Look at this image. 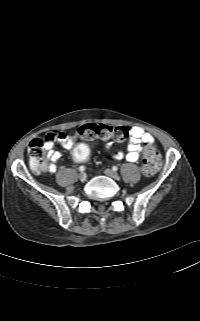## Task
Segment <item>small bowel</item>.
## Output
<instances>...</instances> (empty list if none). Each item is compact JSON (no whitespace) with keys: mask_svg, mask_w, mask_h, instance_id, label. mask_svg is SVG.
<instances>
[{"mask_svg":"<svg viewBox=\"0 0 200 321\" xmlns=\"http://www.w3.org/2000/svg\"><path fill=\"white\" fill-rule=\"evenodd\" d=\"M129 136V143L127 145V151L116 152L113 154V158L116 160L125 159L128 162L134 163L139 159L142 151V144L151 145L154 142V137L146 132L139 126H131L127 129ZM51 139H45V148L47 150L48 159L51 163L48 166V171L54 173L57 169L56 162L61 158V154L58 151L53 150L55 142L60 143L65 149L70 150L71 146L75 144L73 138L65 132L50 133ZM46 136V137H47ZM111 144H107V148H110Z\"/></svg>","mask_w":200,"mask_h":321,"instance_id":"c3829d8e","label":"small bowel"}]
</instances>
